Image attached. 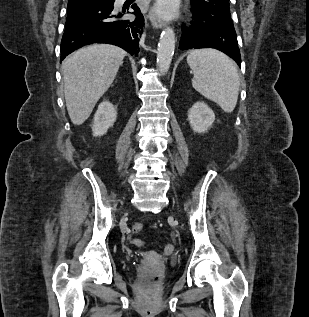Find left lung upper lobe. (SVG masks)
I'll use <instances>...</instances> for the list:
<instances>
[{"mask_svg": "<svg viewBox=\"0 0 309 317\" xmlns=\"http://www.w3.org/2000/svg\"><path fill=\"white\" fill-rule=\"evenodd\" d=\"M191 5L192 10L233 25L229 11V0H191Z\"/></svg>", "mask_w": 309, "mask_h": 317, "instance_id": "obj_1", "label": "left lung upper lobe"}]
</instances>
